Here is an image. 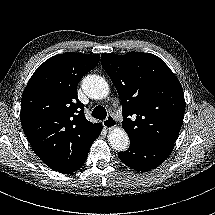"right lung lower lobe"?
<instances>
[{
    "label": "right lung lower lobe",
    "mask_w": 215,
    "mask_h": 215,
    "mask_svg": "<svg viewBox=\"0 0 215 215\" xmlns=\"http://www.w3.org/2000/svg\"><path fill=\"white\" fill-rule=\"evenodd\" d=\"M102 130V125L100 123L97 124V126H95L89 136H88V140L84 143V148L82 151V156L79 160V162H77L75 165L73 166H64V167H58V166H53L50 167L51 169L58 171L60 173H71V172H75L77 170H79L81 168V166L85 163L86 159H87V155L90 149V146L92 145V143L94 142V140L100 135Z\"/></svg>",
    "instance_id": "98d812e1"
}]
</instances>
